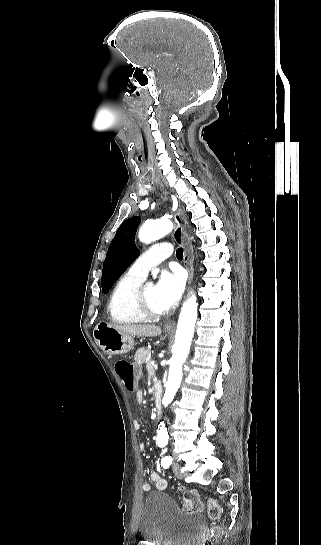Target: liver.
<instances>
[{
  "mask_svg": "<svg viewBox=\"0 0 321 545\" xmlns=\"http://www.w3.org/2000/svg\"><path fill=\"white\" fill-rule=\"evenodd\" d=\"M113 327L116 331H119L121 335H132V337H158L161 335V327H156V325H109Z\"/></svg>",
  "mask_w": 321,
  "mask_h": 545,
  "instance_id": "6515ba94",
  "label": "liver"
}]
</instances>
